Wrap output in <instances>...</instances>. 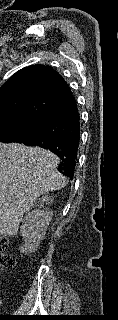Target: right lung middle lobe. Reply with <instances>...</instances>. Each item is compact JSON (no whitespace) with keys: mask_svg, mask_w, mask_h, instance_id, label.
Listing matches in <instances>:
<instances>
[{"mask_svg":"<svg viewBox=\"0 0 118 320\" xmlns=\"http://www.w3.org/2000/svg\"><path fill=\"white\" fill-rule=\"evenodd\" d=\"M45 120L38 119H17L0 120V133L6 135H18L22 141L34 133L43 129ZM6 141H10L7 139Z\"/></svg>","mask_w":118,"mask_h":320,"instance_id":"obj_1","label":"right lung middle lobe"}]
</instances>
